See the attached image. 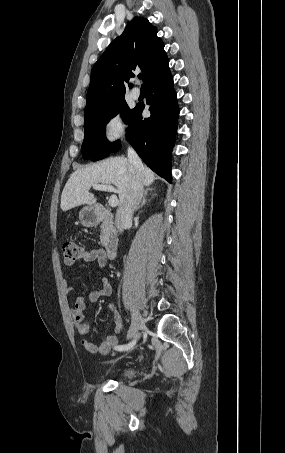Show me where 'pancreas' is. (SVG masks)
<instances>
[{"instance_id": "1", "label": "pancreas", "mask_w": 285, "mask_h": 453, "mask_svg": "<svg viewBox=\"0 0 285 453\" xmlns=\"http://www.w3.org/2000/svg\"><path fill=\"white\" fill-rule=\"evenodd\" d=\"M111 232V227L110 225L103 223L101 225V235H100V240L101 242H105L108 238L109 233Z\"/></svg>"}]
</instances>
